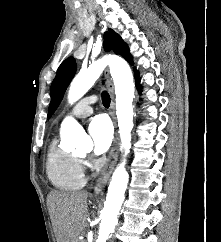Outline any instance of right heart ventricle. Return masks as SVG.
Segmentation results:
<instances>
[{"label": "right heart ventricle", "instance_id": "obj_1", "mask_svg": "<svg viewBox=\"0 0 221 242\" xmlns=\"http://www.w3.org/2000/svg\"><path fill=\"white\" fill-rule=\"evenodd\" d=\"M46 174L50 183L60 190L79 189L86 182L80 158L59 148L55 139L48 147Z\"/></svg>", "mask_w": 221, "mask_h": 242}]
</instances>
